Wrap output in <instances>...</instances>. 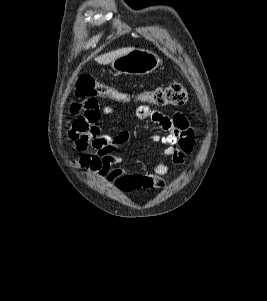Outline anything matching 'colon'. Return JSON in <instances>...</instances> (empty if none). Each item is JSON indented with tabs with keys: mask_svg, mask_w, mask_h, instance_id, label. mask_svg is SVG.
Wrapping results in <instances>:
<instances>
[{
	"mask_svg": "<svg viewBox=\"0 0 267 301\" xmlns=\"http://www.w3.org/2000/svg\"><path fill=\"white\" fill-rule=\"evenodd\" d=\"M75 95L78 98H111L114 100H126L129 96L116 91L113 87L84 75L76 82ZM188 93L180 82L167 86H159L137 95V99L155 107L178 106L186 102Z\"/></svg>",
	"mask_w": 267,
	"mask_h": 301,
	"instance_id": "1",
	"label": "colon"
}]
</instances>
